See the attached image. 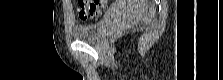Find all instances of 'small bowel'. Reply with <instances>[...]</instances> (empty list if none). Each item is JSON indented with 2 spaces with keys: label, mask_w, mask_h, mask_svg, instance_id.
Wrapping results in <instances>:
<instances>
[{
  "label": "small bowel",
  "mask_w": 223,
  "mask_h": 80,
  "mask_svg": "<svg viewBox=\"0 0 223 80\" xmlns=\"http://www.w3.org/2000/svg\"><path fill=\"white\" fill-rule=\"evenodd\" d=\"M103 6H105V1L103 2Z\"/></svg>",
  "instance_id": "obj_1"
}]
</instances>
